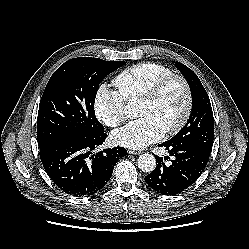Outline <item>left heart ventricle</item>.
Masks as SVG:
<instances>
[{
    "label": "left heart ventricle",
    "mask_w": 249,
    "mask_h": 249,
    "mask_svg": "<svg viewBox=\"0 0 249 249\" xmlns=\"http://www.w3.org/2000/svg\"><path fill=\"white\" fill-rule=\"evenodd\" d=\"M185 97L179 82L173 81L163 90L154 102L141 100L139 116L154 117L164 130L173 126L180 118L184 109Z\"/></svg>",
    "instance_id": "obj_1"
}]
</instances>
